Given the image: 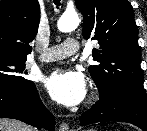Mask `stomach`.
Listing matches in <instances>:
<instances>
[{
  "instance_id": "0dacf381",
  "label": "stomach",
  "mask_w": 147,
  "mask_h": 131,
  "mask_svg": "<svg viewBox=\"0 0 147 131\" xmlns=\"http://www.w3.org/2000/svg\"><path fill=\"white\" fill-rule=\"evenodd\" d=\"M87 131H95V130L90 129V130H87Z\"/></svg>"
}]
</instances>
